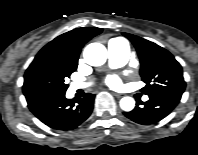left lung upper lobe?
<instances>
[{
	"label": "left lung upper lobe",
	"instance_id": "5c2ea615",
	"mask_svg": "<svg viewBox=\"0 0 198 155\" xmlns=\"http://www.w3.org/2000/svg\"><path fill=\"white\" fill-rule=\"evenodd\" d=\"M123 35L134 44L140 58V75L146 83L142 92L148 96L158 94L182 96L186 83L181 65L173 55L151 41L129 33Z\"/></svg>",
	"mask_w": 198,
	"mask_h": 155
}]
</instances>
